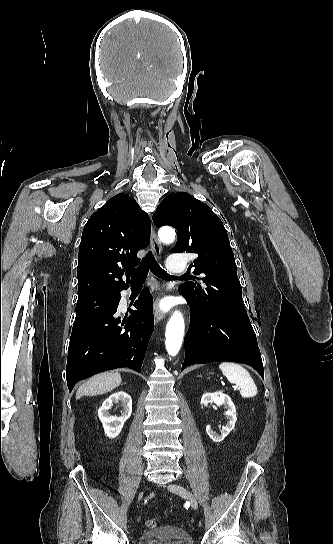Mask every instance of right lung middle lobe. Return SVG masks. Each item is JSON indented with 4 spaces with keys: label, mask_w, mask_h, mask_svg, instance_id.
I'll return each instance as SVG.
<instances>
[{
    "label": "right lung middle lobe",
    "mask_w": 333,
    "mask_h": 544,
    "mask_svg": "<svg viewBox=\"0 0 333 544\" xmlns=\"http://www.w3.org/2000/svg\"><path fill=\"white\" fill-rule=\"evenodd\" d=\"M118 294H102L87 299L78 300L76 304V318L74 324L80 323L95 314L113 306L117 302Z\"/></svg>",
    "instance_id": "1"
}]
</instances>
